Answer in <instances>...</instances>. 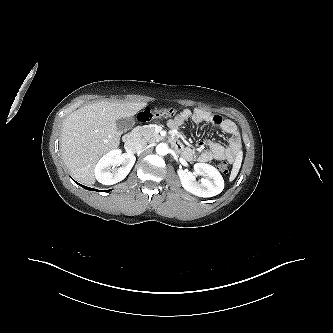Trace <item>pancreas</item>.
<instances>
[{"label":"pancreas","instance_id":"1","mask_svg":"<svg viewBox=\"0 0 333 333\" xmlns=\"http://www.w3.org/2000/svg\"><path fill=\"white\" fill-rule=\"evenodd\" d=\"M133 134L136 138L144 139L147 142H153L159 137L151 125L138 126L133 129Z\"/></svg>","mask_w":333,"mask_h":333}]
</instances>
